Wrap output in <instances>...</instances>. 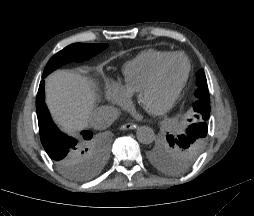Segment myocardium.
<instances>
[{
    "mask_svg": "<svg viewBox=\"0 0 254 216\" xmlns=\"http://www.w3.org/2000/svg\"><path fill=\"white\" fill-rule=\"evenodd\" d=\"M176 57H181L186 62V69H185L184 75H183L181 81L179 82V84L176 86V88L174 89V91L170 95L167 102L163 106H161L160 108L152 111L156 115H161V114H164V113L168 112L174 106V104L176 103V101H177L179 95L181 94L183 88L185 87V85L187 83V80L189 78V75H190V71H191V64H190V61L187 58V56L184 55L183 53H180V52H174V53L169 54L166 58L161 60L155 66L154 70L152 71V73H151L150 77L148 78V80L146 81V83L137 92V99H138V101L141 102L143 94L145 92H147L149 89H151L156 84L163 67L170 60H172L173 58H176Z\"/></svg>",
    "mask_w": 254,
    "mask_h": 216,
    "instance_id": "1",
    "label": "myocardium"
}]
</instances>
